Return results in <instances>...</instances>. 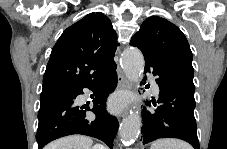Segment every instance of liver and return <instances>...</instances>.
<instances>
[{"label":"liver","mask_w":227,"mask_h":149,"mask_svg":"<svg viewBox=\"0 0 227 149\" xmlns=\"http://www.w3.org/2000/svg\"><path fill=\"white\" fill-rule=\"evenodd\" d=\"M92 144L93 140L89 137L71 135L51 142L45 149H91Z\"/></svg>","instance_id":"1"}]
</instances>
